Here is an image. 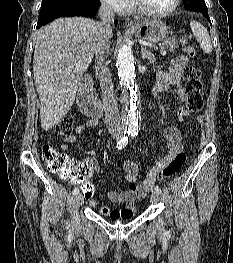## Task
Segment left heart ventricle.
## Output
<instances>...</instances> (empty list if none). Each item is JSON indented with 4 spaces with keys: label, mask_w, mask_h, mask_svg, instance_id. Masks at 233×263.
<instances>
[{
    "label": "left heart ventricle",
    "mask_w": 233,
    "mask_h": 263,
    "mask_svg": "<svg viewBox=\"0 0 233 263\" xmlns=\"http://www.w3.org/2000/svg\"><path fill=\"white\" fill-rule=\"evenodd\" d=\"M140 4L149 11L161 12L168 9L173 0H139Z\"/></svg>",
    "instance_id": "left-heart-ventricle-1"
}]
</instances>
